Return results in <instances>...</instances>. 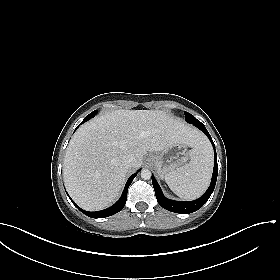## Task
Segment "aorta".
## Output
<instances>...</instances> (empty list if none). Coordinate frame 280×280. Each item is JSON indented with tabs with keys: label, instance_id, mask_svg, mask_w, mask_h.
<instances>
[{
	"label": "aorta",
	"instance_id": "obj_1",
	"mask_svg": "<svg viewBox=\"0 0 280 280\" xmlns=\"http://www.w3.org/2000/svg\"><path fill=\"white\" fill-rule=\"evenodd\" d=\"M151 171L150 170H148V169H143L142 171H141V178L142 179H144V180H148V179H150L151 178Z\"/></svg>",
	"mask_w": 280,
	"mask_h": 280
}]
</instances>
